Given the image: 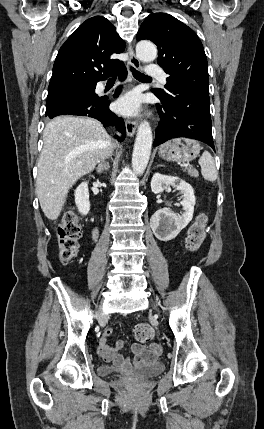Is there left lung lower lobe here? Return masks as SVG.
<instances>
[{
  "label": "left lung lower lobe",
  "mask_w": 264,
  "mask_h": 429,
  "mask_svg": "<svg viewBox=\"0 0 264 429\" xmlns=\"http://www.w3.org/2000/svg\"><path fill=\"white\" fill-rule=\"evenodd\" d=\"M155 95L160 99L156 106L161 121L156 130L153 146L172 138L188 137L207 143L215 151L208 93L185 84L173 83L168 98L163 99Z\"/></svg>",
  "instance_id": "1"
}]
</instances>
